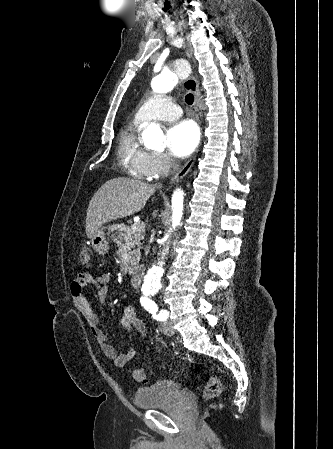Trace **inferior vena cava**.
I'll return each mask as SVG.
<instances>
[{
  "label": "inferior vena cava",
  "mask_w": 333,
  "mask_h": 449,
  "mask_svg": "<svg viewBox=\"0 0 333 449\" xmlns=\"http://www.w3.org/2000/svg\"><path fill=\"white\" fill-rule=\"evenodd\" d=\"M173 166H174V169H176V166H177V165L173 164Z\"/></svg>",
  "instance_id": "602c4592"
}]
</instances>
